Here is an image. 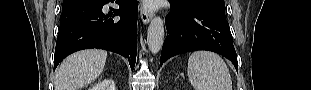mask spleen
Returning a JSON list of instances; mask_svg holds the SVG:
<instances>
[{
    "label": "spleen",
    "instance_id": "spleen-1",
    "mask_svg": "<svg viewBox=\"0 0 311 90\" xmlns=\"http://www.w3.org/2000/svg\"><path fill=\"white\" fill-rule=\"evenodd\" d=\"M187 74L195 90H232L229 69L213 52H193L188 59Z\"/></svg>",
    "mask_w": 311,
    "mask_h": 90
}]
</instances>
